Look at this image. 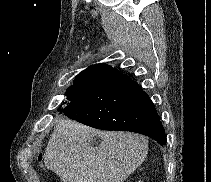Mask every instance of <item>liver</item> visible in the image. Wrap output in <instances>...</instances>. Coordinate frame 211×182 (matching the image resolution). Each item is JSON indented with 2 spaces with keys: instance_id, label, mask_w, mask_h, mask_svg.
<instances>
[{
  "instance_id": "6515ba94",
  "label": "liver",
  "mask_w": 211,
  "mask_h": 182,
  "mask_svg": "<svg viewBox=\"0 0 211 182\" xmlns=\"http://www.w3.org/2000/svg\"><path fill=\"white\" fill-rule=\"evenodd\" d=\"M100 138L94 146L93 137ZM148 140L136 133L100 131L59 120L44 153L47 169L63 182H123L145 160Z\"/></svg>"
}]
</instances>
